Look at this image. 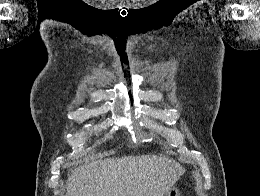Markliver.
Listing matches in <instances>:
<instances>
[{
  "instance_id": "6515ba94",
  "label": "liver",
  "mask_w": 260,
  "mask_h": 196,
  "mask_svg": "<svg viewBox=\"0 0 260 196\" xmlns=\"http://www.w3.org/2000/svg\"><path fill=\"white\" fill-rule=\"evenodd\" d=\"M184 174L166 156H123L71 170L66 196H166Z\"/></svg>"
}]
</instances>
